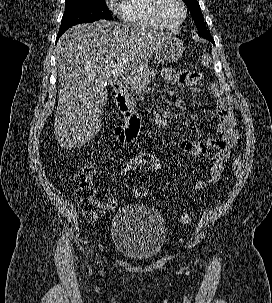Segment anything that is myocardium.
I'll return each mask as SVG.
<instances>
[{"instance_id": "myocardium-1", "label": "myocardium", "mask_w": 272, "mask_h": 303, "mask_svg": "<svg viewBox=\"0 0 272 303\" xmlns=\"http://www.w3.org/2000/svg\"><path fill=\"white\" fill-rule=\"evenodd\" d=\"M177 1L182 8V17L177 23L169 24L161 16L160 8H161V4H162L163 0H153V5H152L153 17L163 28L175 29V28H178L179 26H181L185 22L186 17H187V6H186L184 0H177Z\"/></svg>"}]
</instances>
